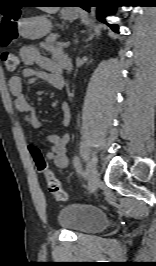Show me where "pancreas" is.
I'll list each match as a JSON object with an SVG mask.
<instances>
[{
	"label": "pancreas",
	"mask_w": 156,
	"mask_h": 266,
	"mask_svg": "<svg viewBox=\"0 0 156 266\" xmlns=\"http://www.w3.org/2000/svg\"><path fill=\"white\" fill-rule=\"evenodd\" d=\"M57 38V34H50L48 37H46L45 42L41 43V45L44 46L46 49L53 50L56 47L55 44Z\"/></svg>",
	"instance_id": "cf45deb5"
}]
</instances>
